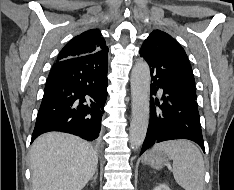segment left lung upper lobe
I'll use <instances>...</instances> for the list:
<instances>
[{
  "instance_id": "1",
  "label": "left lung upper lobe",
  "mask_w": 234,
  "mask_h": 190,
  "mask_svg": "<svg viewBox=\"0 0 234 190\" xmlns=\"http://www.w3.org/2000/svg\"><path fill=\"white\" fill-rule=\"evenodd\" d=\"M166 43L171 51L172 74L175 83L190 97L197 99L195 80L188 57L181 45L169 34L155 30L144 41L142 47L156 49L159 44Z\"/></svg>"
}]
</instances>
